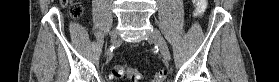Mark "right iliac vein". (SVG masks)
I'll return each instance as SVG.
<instances>
[{
  "mask_svg": "<svg viewBox=\"0 0 279 82\" xmlns=\"http://www.w3.org/2000/svg\"><path fill=\"white\" fill-rule=\"evenodd\" d=\"M116 37H117V33H116V31L113 30V31L111 32V39H112V40H115Z\"/></svg>",
  "mask_w": 279,
  "mask_h": 82,
  "instance_id": "63e3f726",
  "label": "right iliac vein"
}]
</instances>
